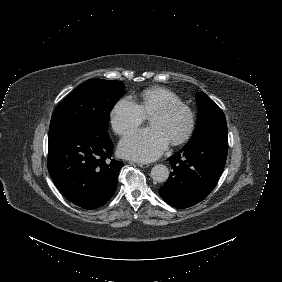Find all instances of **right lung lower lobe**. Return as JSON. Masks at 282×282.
I'll return each instance as SVG.
<instances>
[{
	"instance_id": "right-lung-lower-lobe-1",
	"label": "right lung lower lobe",
	"mask_w": 282,
	"mask_h": 282,
	"mask_svg": "<svg viewBox=\"0 0 282 282\" xmlns=\"http://www.w3.org/2000/svg\"><path fill=\"white\" fill-rule=\"evenodd\" d=\"M113 144L83 125L49 135L48 170L63 196L84 209H96L113 196L122 161L111 159Z\"/></svg>"
}]
</instances>
